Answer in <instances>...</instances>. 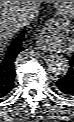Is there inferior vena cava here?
I'll return each instance as SVG.
<instances>
[{
	"label": "inferior vena cava",
	"instance_id": "602c4592",
	"mask_svg": "<svg viewBox=\"0 0 74 122\" xmlns=\"http://www.w3.org/2000/svg\"><path fill=\"white\" fill-rule=\"evenodd\" d=\"M39 11V3L31 8H26L24 12L20 15L21 26H26L35 17Z\"/></svg>",
	"mask_w": 74,
	"mask_h": 122
}]
</instances>
